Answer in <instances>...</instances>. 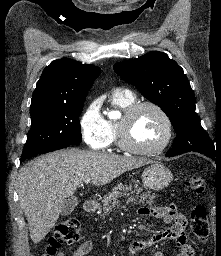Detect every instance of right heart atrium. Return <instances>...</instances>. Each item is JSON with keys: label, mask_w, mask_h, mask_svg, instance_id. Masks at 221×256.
<instances>
[{"label": "right heart atrium", "mask_w": 221, "mask_h": 256, "mask_svg": "<svg viewBox=\"0 0 221 256\" xmlns=\"http://www.w3.org/2000/svg\"><path fill=\"white\" fill-rule=\"evenodd\" d=\"M79 126L85 143L94 150H104L111 143L107 120L96 101L90 102L83 110Z\"/></svg>", "instance_id": "d8ad5b80"}]
</instances>
